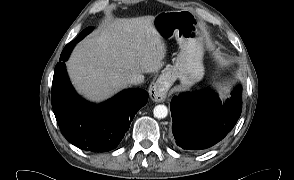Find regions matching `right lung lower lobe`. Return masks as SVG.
<instances>
[{"mask_svg": "<svg viewBox=\"0 0 294 180\" xmlns=\"http://www.w3.org/2000/svg\"><path fill=\"white\" fill-rule=\"evenodd\" d=\"M83 37L67 44L54 71L52 107L64 137L76 147L105 152L118 146L137 111L148 101L142 89L124 90L100 105L91 104L73 89L65 68L73 47Z\"/></svg>", "mask_w": 294, "mask_h": 180, "instance_id": "right-lung-lower-lobe-1", "label": "right lung lower lobe"}]
</instances>
